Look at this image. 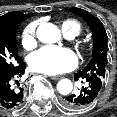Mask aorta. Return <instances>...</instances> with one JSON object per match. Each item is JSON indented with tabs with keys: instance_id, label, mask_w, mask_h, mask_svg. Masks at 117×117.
<instances>
[{
	"instance_id": "obj_1",
	"label": "aorta",
	"mask_w": 117,
	"mask_h": 117,
	"mask_svg": "<svg viewBox=\"0 0 117 117\" xmlns=\"http://www.w3.org/2000/svg\"><path fill=\"white\" fill-rule=\"evenodd\" d=\"M37 38L43 43H56L61 39V32L52 23H42L37 29ZM73 89L69 79H62L57 84V90L62 95H68Z\"/></svg>"
}]
</instances>
